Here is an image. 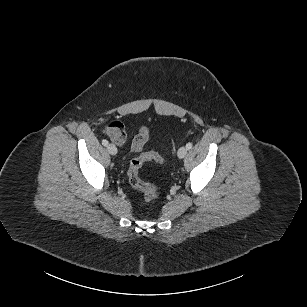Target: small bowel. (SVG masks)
<instances>
[{
	"instance_id": "small-bowel-1",
	"label": "small bowel",
	"mask_w": 307,
	"mask_h": 307,
	"mask_svg": "<svg viewBox=\"0 0 307 307\" xmlns=\"http://www.w3.org/2000/svg\"><path fill=\"white\" fill-rule=\"evenodd\" d=\"M107 134L118 145H123L126 141V131L123 123L118 120L111 121L106 127ZM148 139V130L142 127L132 141L131 149L133 152H140Z\"/></svg>"
}]
</instances>
